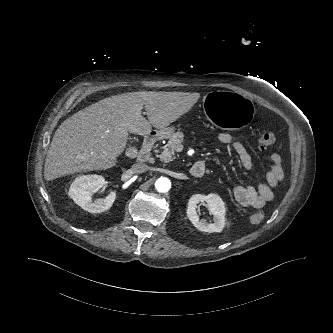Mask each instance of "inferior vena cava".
Masks as SVG:
<instances>
[{"label": "inferior vena cava", "mask_w": 333, "mask_h": 333, "mask_svg": "<svg viewBox=\"0 0 333 333\" xmlns=\"http://www.w3.org/2000/svg\"><path fill=\"white\" fill-rule=\"evenodd\" d=\"M134 173H143L149 170V166L142 162H137L132 166Z\"/></svg>", "instance_id": "602c4592"}]
</instances>
